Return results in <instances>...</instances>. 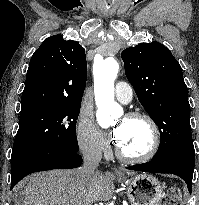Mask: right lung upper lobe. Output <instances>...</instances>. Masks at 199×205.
<instances>
[{
    "instance_id": "right-lung-upper-lobe-1",
    "label": "right lung upper lobe",
    "mask_w": 199,
    "mask_h": 205,
    "mask_svg": "<svg viewBox=\"0 0 199 205\" xmlns=\"http://www.w3.org/2000/svg\"><path fill=\"white\" fill-rule=\"evenodd\" d=\"M86 79L85 49L60 34L51 36L32 55L21 111L42 105L81 104Z\"/></svg>"
}]
</instances>
